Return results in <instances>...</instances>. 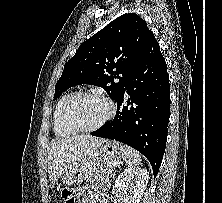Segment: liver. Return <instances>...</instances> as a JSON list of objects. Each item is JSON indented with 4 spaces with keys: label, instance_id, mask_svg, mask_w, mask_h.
<instances>
[{
    "label": "liver",
    "instance_id": "liver-1",
    "mask_svg": "<svg viewBox=\"0 0 222 203\" xmlns=\"http://www.w3.org/2000/svg\"><path fill=\"white\" fill-rule=\"evenodd\" d=\"M105 142L91 135L56 138L48 147V174L50 186L75 164L82 162L89 153Z\"/></svg>",
    "mask_w": 222,
    "mask_h": 203
}]
</instances>
